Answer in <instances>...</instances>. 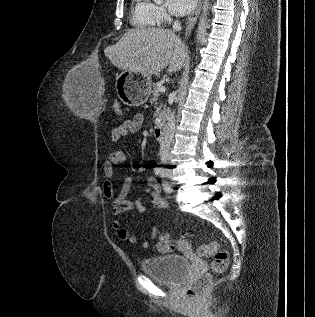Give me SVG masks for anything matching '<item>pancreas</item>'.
Returning a JSON list of instances; mask_svg holds the SVG:
<instances>
[{
  "label": "pancreas",
  "instance_id": "pancreas-1",
  "mask_svg": "<svg viewBox=\"0 0 315 317\" xmlns=\"http://www.w3.org/2000/svg\"><path fill=\"white\" fill-rule=\"evenodd\" d=\"M162 86L159 85V84H154L153 85V90H152V97L150 99V103H155L160 95V91L159 89L161 88Z\"/></svg>",
  "mask_w": 315,
  "mask_h": 317
}]
</instances>
